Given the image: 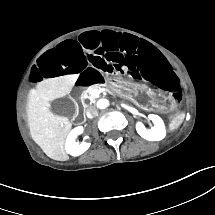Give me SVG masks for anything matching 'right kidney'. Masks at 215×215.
<instances>
[{
	"label": "right kidney",
	"instance_id": "ca27d5eb",
	"mask_svg": "<svg viewBox=\"0 0 215 215\" xmlns=\"http://www.w3.org/2000/svg\"><path fill=\"white\" fill-rule=\"evenodd\" d=\"M76 128L78 129L76 131H73ZM76 128L69 133L65 143L66 153L70 154L71 156H79L83 154L85 151H87L88 148L90 147V143L82 142L81 144H79L78 142H75V139L77 138V136L79 134H82L84 131L82 126H78ZM87 138L89 137L85 136L84 139H87Z\"/></svg>",
	"mask_w": 215,
	"mask_h": 215
}]
</instances>
